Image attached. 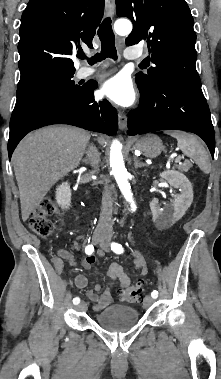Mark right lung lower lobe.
<instances>
[{"instance_id": "98d812e1", "label": "right lung lower lobe", "mask_w": 221, "mask_h": 379, "mask_svg": "<svg viewBox=\"0 0 221 379\" xmlns=\"http://www.w3.org/2000/svg\"><path fill=\"white\" fill-rule=\"evenodd\" d=\"M95 88L94 84H86L80 92L63 100L42 104L10 125L9 159L27 133L47 125L69 124L107 135L115 134L118 129L116 109L106 100L97 102L93 94Z\"/></svg>"}]
</instances>
